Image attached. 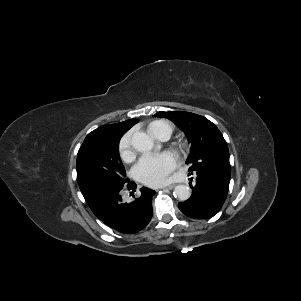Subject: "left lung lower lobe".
<instances>
[{"label": "left lung lower lobe", "mask_w": 301, "mask_h": 301, "mask_svg": "<svg viewBox=\"0 0 301 301\" xmlns=\"http://www.w3.org/2000/svg\"><path fill=\"white\" fill-rule=\"evenodd\" d=\"M195 184L189 183L191 197L178 204L179 209L194 219H209L221 209L228 193L230 176L213 171H196Z\"/></svg>", "instance_id": "0a47b994"}]
</instances>
